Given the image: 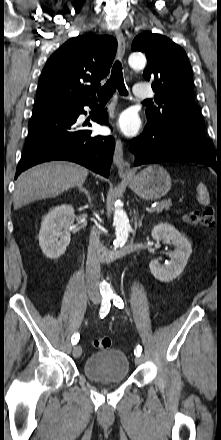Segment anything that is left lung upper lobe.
<instances>
[{
	"label": "left lung upper lobe",
	"mask_w": 221,
	"mask_h": 440,
	"mask_svg": "<svg viewBox=\"0 0 221 440\" xmlns=\"http://www.w3.org/2000/svg\"><path fill=\"white\" fill-rule=\"evenodd\" d=\"M131 49L146 54L143 76L152 82L159 105L146 110L148 122L161 125L170 119H183L205 125L194 101L193 73L185 51L168 37L150 31L135 37Z\"/></svg>",
	"instance_id": "1"
}]
</instances>
